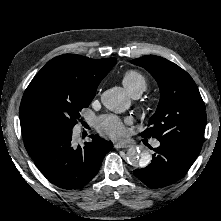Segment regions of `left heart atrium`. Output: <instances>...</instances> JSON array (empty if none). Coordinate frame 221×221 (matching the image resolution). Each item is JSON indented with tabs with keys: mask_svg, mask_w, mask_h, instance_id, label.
<instances>
[{
	"mask_svg": "<svg viewBox=\"0 0 221 221\" xmlns=\"http://www.w3.org/2000/svg\"><path fill=\"white\" fill-rule=\"evenodd\" d=\"M99 130L109 137L119 140L126 136L125 122L113 115H105L98 119Z\"/></svg>",
	"mask_w": 221,
	"mask_h": 221,
	"instance_id": "1",
	"label": "left heart atrium"
}]
</instances>
